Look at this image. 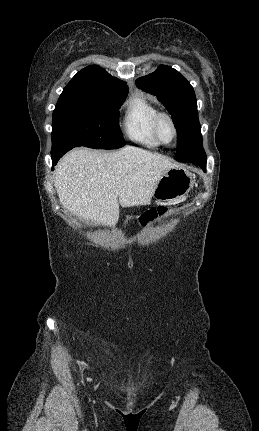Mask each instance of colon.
I'll list each match as a JSON object with an SVG mask.
<instances>
[{
	"mask_svg": "<svg viewBox=\"0 0 259 431\" xmlns=\"http://www.w3.org/2000/svg\"><path fill=\"white\" fill-rule=\"evenodd\" d=\"M166 212L167 207L165 206L152 207L141 215L139 223L142 227H145Z\"/></svg>",
	"mask_w": 259,
	"mask_h": 431,
	"instance_id": "1",
	"label": "colon"
}]
</instances>
